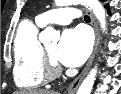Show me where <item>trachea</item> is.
Returning <instances> with one entry per match:
<instances>
[{"label": "trachea", "instance_id": "trachea-1", "mask_svg": "<svg viewBox=\"0 0 121 94\" xmlns=\"http://www.w3.org/2000/svg\"><path fill=\"white\" fill-rule=\"evenodd\" d=\"M84 20H85V21H90V17L87 16V15H85V16H84Z\"/></svg>", "mask_w": 121, "mask_h": 94}]
</instances>
